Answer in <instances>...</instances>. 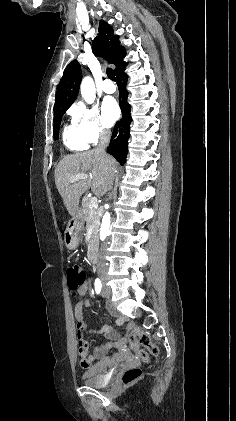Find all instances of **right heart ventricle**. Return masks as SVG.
I'll return each mask as SVG.
<instances>
[{
	"label": "right heart ventricle",
	"instance_id": "e07e8e85",
	"mask_svg": "<svg viewBox=\"0 0 236 421\" xmlns=\"http://www.w3.org/2000/svg\"><path fill=\"white\" fill-rule=\"evenodd\" d=\"M63 143L65 148L71 152L85 151L89 148V142L81 135L73 123L64 127Z\"/></svg>",
	"mask_w": 236,
	"mask_h": 421
}]
</instances>
